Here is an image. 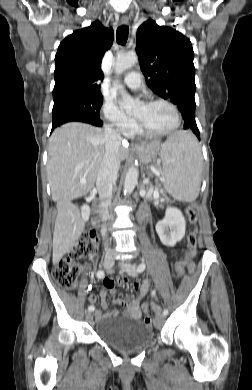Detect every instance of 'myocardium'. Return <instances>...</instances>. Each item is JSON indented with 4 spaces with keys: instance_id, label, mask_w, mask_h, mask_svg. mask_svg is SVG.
<instances>
[{
    "instance_id": "1",
    "label": "myocardium",
    "mask_w": 252,
    "mask_h": 390,
    "mask_svg": "<svg viewBox=\"0 0 252 390\" xmlns=\"http://www.w3.org/2000/svg\"><path fill=\"white\" fill-rule=\"evenodd\" d=\"M156 103H164V104L168 105L173 110L174 115H175L174 124L167 130L156 131V130H152V129L146 127L142 122H140L138 119L135 118L137 130L139 133H141L143 135L152 136V137H160V136L170 135L171 133L175 132L181 125L180 111H179L178 107L173 102H171L170 100L165 99V98H160V97L151 98V99H148V100L143 102V104L145 106H151V105L156 104Z\"/></svg>"
}]
</instances>
